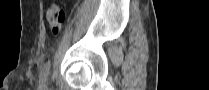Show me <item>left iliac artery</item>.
<instances>
[{
	"label": "left iliac artery",
	"instance_id": "obj_1",
	"mask_svg": "<svg viewBox=\"0 0 209 90\" xmlns=\"http://www.w3.org/2000/svg\"><path fill=\"white\" fill-rule=\"evenodd\" d=\"M50 66H51V61L50 59L45 63L43 69H42V72H41V77H40V82L43 84L46 79H47V76L49 74V70H50Z\"/></svg>",
	"mask_w": 209,
	"mask_h": 90
}]
</instances>
